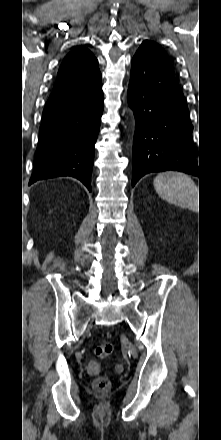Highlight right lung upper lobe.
Wrapping results in <instances>:
<instances>
[{
  "mask_svg": "<svg viewBox=\"0 0 221 440\" xmlns=\"http://www.w3.org/2000/svg\"><path fill=\"white\" fill-rule=\"evenodd\" d=\"M100 79L97 59L88 49L79 47L63 60L53 91L86 87Z\"/></svg>",
  "mask_w": 221,
  "mask_h": 440,
  "instance_id": "1",
  "label": "right lung upper lobe"
}]
</instances>
